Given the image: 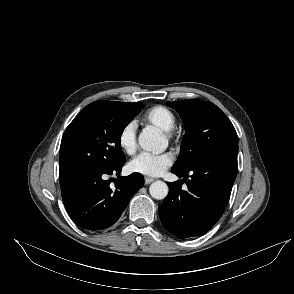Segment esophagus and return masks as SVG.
I'll list each match as a JSON object with an SVG mask.
<instances>
[{"label":"esophagus","mask_w":294,"mask_h":294,"mask_svg":"<svg viewBox=\"0 0 294 294\" xmlns=\"http://www.w3.org/2000/svg\"><path fill=\"white\" fill-rule=\"evenodd\" d=\"M154 180H155L154 178L146 177L145 184L148 185V184L152 183Z\"/></svg>","instance_id":"1"}]
</instances>
